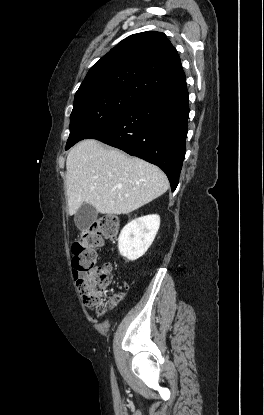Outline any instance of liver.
<instances>
[{
    "label": "liver",
    "mask_w": 264,
    "mask_h": 415,
    "mask_svg": "<svg viewBox=\"0 0 264 415\" xmlns=\"http://www.w3.org/2000/svg\"><path fill=\"white\" fill-rule=\"evenodd\" d=\"M66 169L69 215L84 203L101 214H128L169 187L159 167L94 139L83 140L69 151Z\"/></svg>",
    "instance_id": "6515ba94"
}]
</instances>
